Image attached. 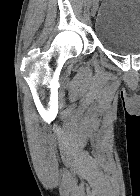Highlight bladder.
I'll list each match as a JSON object with an SVG mask.
<instances>
[{
    "label": "bladder",
    "mask_w": 140,
    "mask_h": 196,
    "mask_svg": "<svg viewBox=\"0 0 140 196\" xmlns=\"http://www.w3.org/2000/svg\"><path fill=\"white\" fill-rule=\"evenodd\" d=\"M94 30L106 50L120 56L140 55V0H104Z\"/></svg>",
    "instance_id": "bladder-1"
}]
</instances>
